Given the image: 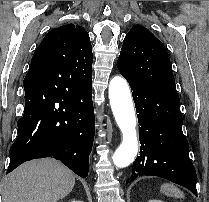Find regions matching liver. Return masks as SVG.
Wrapping results in <instances>:
<instances>
[{"label":"liver","instance_id":"1","mask_svg":"<svg viewBox=\"0 0 209 202\" xmlns=\"http://www.w3.org/2000/svg\"><path fill=\"white\" fill-rule=\"evenodd\" d=\"M75 185L72 171L59 161L42 159L24 163L2 184L3 202H57Z\"/></svg>","mask_w":209,"mask_h":202}]
</instances>
